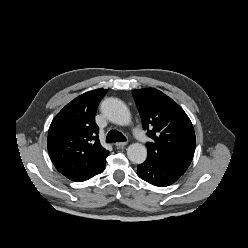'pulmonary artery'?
<instances>
[{
  "mask_svg": "<svg viewBox=\"0 0 248 248\" xmlns=\"http://www.w3.org/2000/svg\"><path fill=\"white\" fill-rule=\"evenodd\" d=\"M133 132L140 143H142V144L147 143L148 137L144 132H142L138 128H135Z\"/></svg>",
  "mask_w": 248,
  "mask_h": 248,
  "instance_id": "e3ab8cb5",
  "label": "pulmonary artery"
}]
</instances>
